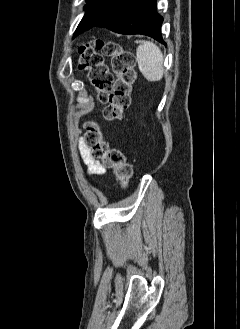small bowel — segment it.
I'll list each match as a JSON object with an SVG mask.
<instances>
[{"instance_id":"obj_1","label":"small bowel","mask_w":240,"mask_h":329,"mask_svg":"<svg viewBox=\"0 0 240 329\" xmlns=\"http://www.w3.org/2000/svg\"><path fill=\"white\" fill-rule=\"evenodd\" d=\"M79 149L89 174L100 175L106 171L105 166L91 155L90 149L84 144L82 139L79 141Z\"/></svg>"}]
</instances>
